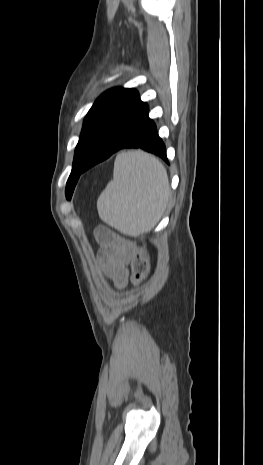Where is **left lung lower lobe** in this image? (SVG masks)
<instances>
[{
  "label": "left lung lower lobe",
  "mask_w": 263,
  "mask_h": 465,
  "mask_svg": "<svg viewBox=\"0 0 263 465\" xmlns=\"http://www.w3.org/2000/svg\"><path fill=\"white\" fill-rule=\"evenodd\" d=\"M123 148H141L160 156L168 163L165 145L158 136L155 123L148 116V105L139 99V95L102 133L82 171Z\"/></svg>",
  "instance_id": "obj_1"
}]
</instances>
